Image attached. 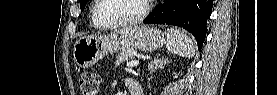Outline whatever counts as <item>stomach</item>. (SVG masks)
Masks as SVG:
<instances>
[{
	"mask_svg": "<svg viewBox=\"0 0 277 95\" xmlns=\"http://www.w3.org/2000/svg\"><path fill=\"white\" fill-rule=\"evenodd\" d=\"M165 42V33L153 26L124 28L108 35L78 39L73 47V60L79 68H89L113 52L128 48L150 52Z\"/></svg>",
	"mask_w": 277,
	"mask_h": 95,
	"instance_id": "1",
	"label": "stomach"
}]
</instances>
